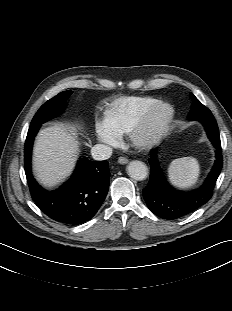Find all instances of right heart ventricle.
Masks as SVG:
<instances>
[{"instance_id": "1", "label": "right heart ventricle", "mask_w": 232, "mask_h": 311, "mask_svg": "<svg viewBox=\"0 0 232 311\" xmlns=\"http://www.w3.org/2000/svg\"><path fill=\"white\" fill-rule=\"evenodd\" d=\"M158 101L152 96L122 97L106 112L105 123L116 135L127 134L139 117Z\"/></svg>"}]
</instances>
